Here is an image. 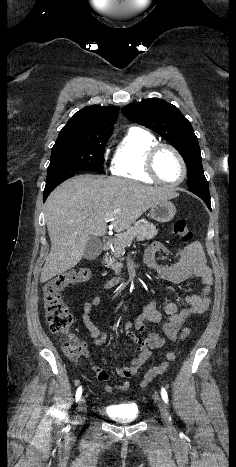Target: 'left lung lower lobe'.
<instances>
[{"label":"left lung lower lobe","mask_w":236,"mask_h":467,"mask_svg":"<svg viewBox=\"0 0 236 467\" xmlns=\"http://www.w3.org/2000/svg\"><path fill=\"white\" fill-rule=\"evenodd\" d=\"M188 190L196 194L197 196H199L206 203L208 208L211 210L210 193H209L208 186L189 188Z\"/></svg>","instance_id":"obj_1"}]
</instances>
